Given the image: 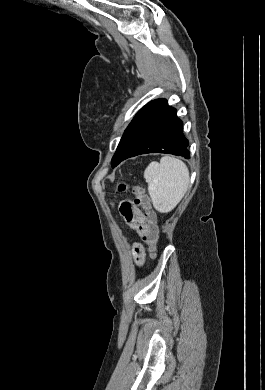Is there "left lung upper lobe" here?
Masks as SVG:
<instances>
[{
	"label": "left lung upper lobe",
	"mask_w": 265,
	"mask_h": 390,
	"mask_svg": "<svg viewBox=\"0 0 265 390\" xmlns=\"http://www.w3.org/2000/svg\"><path fill=\"white\" fill-rule=\"evenodd\" d=\"M141 111V110H140ZM140 111L135 115V117L133 118V120L131 121V123L128 125V127L126 128L121 140H120V143L117 147V150L112 158V167L114 168L115 167V163L119 157V154L120 152L122 151V149L124 148V146L126 145L130 135H131V132H132V129H133V126L135 124V121H136V118L138 116V114L140 113Z\"/></svg>",
	"instance_id": "left-lung-upper-lobe-1"
}]
</instances>
